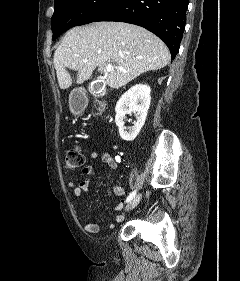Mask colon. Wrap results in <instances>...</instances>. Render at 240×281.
<instances>
[{
  "label": "colon",
  "mask_w": 240,
  "mask_h": 281,
  "mask_svg": "<svg viewBox=\"0 0 240 281\" xmlns=\"http://www.w3.org/2000/svg\"><path fill=\"white\" fill-rule=\"evenodd\" d=\"M85 158L78 146H72L67 149L64 156V165L67 169H76L84 165Z\"/></svg>",
  "instance_id": "obj_1"
}]
</instances>
